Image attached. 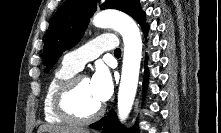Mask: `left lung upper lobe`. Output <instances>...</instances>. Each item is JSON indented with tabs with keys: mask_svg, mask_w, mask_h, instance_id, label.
Returning a JSON list of instances; mask_svg holds the SVG:
<instances>
[{
	"mask_svg": "<svg viewBox=\"0 0 221 133\" xmlns=\"http://www.w3.org/2000/svg\"><path fill=\"white\" fill-rule=\"evenodd\" d=\"M97 0H67L52 18L46 34L43 63L49 71L62 53L75 46L81 39L91 15L96 11ZM117 9L145 25V13L139 0H106L101 9Z\"/></svg>",
	"mask_w": 221,
	"mask_h": 133,
	"instance_id": "obj_1",
	"label": "left lung upper lobe"
}]
</instances>
